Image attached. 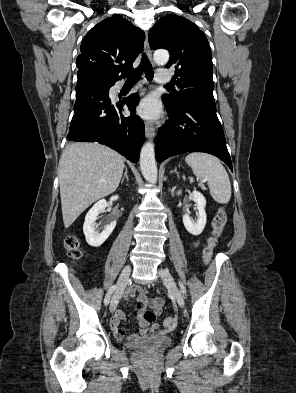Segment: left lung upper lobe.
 <instances>
[{
  "label": "left lung upper lobe",
  "mask_w": 296,
  "mask_h": 393,
  "mask_svg": "<svg viewBox=\"0 0 296 393\" xmlns=\"http://www.w3.org/2000/svg\"><path fill=\"white\" fill-rule=\"evenodd\" d=\"M152 49L170 52L166 67L174 66L173 90L162 97L165 107L177 109L190 99L213 97V63L205 34L191 21L177 15H166L155 23L149 32Z\"/></svg>",
  "instance_id": "1"
}]
</instances>
